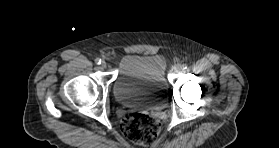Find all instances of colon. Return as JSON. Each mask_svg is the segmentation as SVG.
<instances>
[{
    "label": "colon",
    "instance_id": "5ec220e1",
    "mask_svg": "<svg viewBox=\"0 0 279 148\" xmlns=\"http://www.w3.org/2000/svg\"><path fill=\"white\" fill-rule=\"evenodd\" d=\"M121 128L129 140L139 145L148 146L159 139L161 124L151 115L128 113L121 121Z\"/></svg>",
    "mask_w": 279,
    "mask_h": 148
}]
</instances>
